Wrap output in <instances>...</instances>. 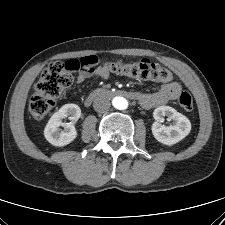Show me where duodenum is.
Here are the masks:
<instances>
[{"mask_svg":"<svg viewBox=\"0 0 225 225\" xmlns=\"http://www.w3.org/2000/svg\"><path fill=\"white\" fill-rule=\"evenodd\" d=\"M115 95H120V96H124L127 98H132V99H136L139 97L138 93L135 92H129L126 90H117V91H113V90H107V89H97L95 91H93L85 100V106L89 107L93 101L100 99L102 97L105 96H115Z\"/></svg>","mask_w":225,"mask_h":225,"instance_id":"410a0bca","label":"duodenum"}]
</instances>
